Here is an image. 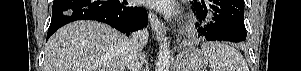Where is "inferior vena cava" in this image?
<instances>
[{"instance_id":"inferior-vena-cava-1","label":"inferior vena cava","mask_w":301,"mask_h":71,"mask_svg":"<svg viewBox=\"0 0 301 71\" xmlns=\"http://www.w3.org/2000/svg\"><path fill=\"white\" fill-rule=\"evenodd\" d=\"M148 31L143 28L133 32L130 37L131 53L127 61L129 71H140L142 67V49L148 42Z\"/></svg>"}]
</instances>
